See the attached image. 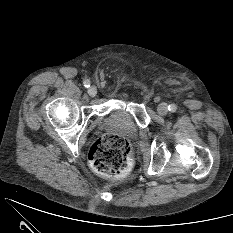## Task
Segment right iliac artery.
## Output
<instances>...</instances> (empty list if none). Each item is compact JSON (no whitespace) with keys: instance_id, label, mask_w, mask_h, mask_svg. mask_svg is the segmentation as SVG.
<instances>
[{"instance_id":"obj_1","label":"right iliac artery","mask_w":233,"mask_h":233,"mask_svg":"<svg viewBox=\"0 0 233 233\" xmlns=\"http://www.w3.org/2000/svg\"><path fill=\"white\" fill-rule=\"evenodd\" d=\"M90 81L89 80H84V82H83V85L86 87V88H88V87H90Z\"/></svg>"}]
</instances>
